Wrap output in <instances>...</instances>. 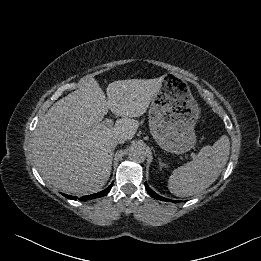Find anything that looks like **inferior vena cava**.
I'll return each instance as SVG.
<instances>
[{"label": "inferior vena cava", "mask_w": 261, "mask_h": 261, "mask_svg": "<svg viewBox=\"0 0 261 261\" xmlns=\"http://www.w3.org/2000/svg\"><path fill=\"white\" fill-rule=\"evenodd\" d=\"M125 142V139L123 136H114L111 139V146L114 148L117 144H122Z\"/></svg>", "instance_id": "inferior-vena-cava-1"}]
</instances>
